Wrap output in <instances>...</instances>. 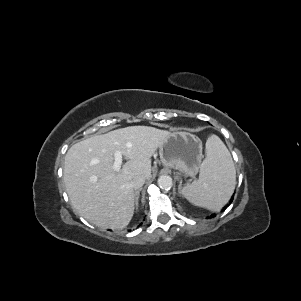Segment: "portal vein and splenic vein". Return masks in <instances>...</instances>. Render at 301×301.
<instances>
[{
	"label": "portal vein and splenic vein",
	"mask_w": 301,
	"mask_h": 301,
	"mask_svg": "<svg viewBox=\"0 0 301 301\" xmlns=\"http://www.w3.org/2000/svg\"><path fill=\"white\" fill-rule=\"evenodd\" d=\"M122 165V154L120 151H115L114 153V163L113 168L115 171H119Z\"/></svg>",
	"instance_id": "18ae733b"
}]
</instances>
